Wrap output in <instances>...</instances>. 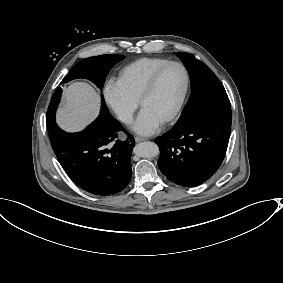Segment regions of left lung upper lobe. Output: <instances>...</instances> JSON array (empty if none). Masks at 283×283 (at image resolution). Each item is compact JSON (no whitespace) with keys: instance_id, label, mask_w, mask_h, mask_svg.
I'll use <instances>...</instances> for the list:
<instances>
[{"instance_id":"left-lung-upper-lobe-1","label":"left lung upper lobe","mask_w":283,"mask_h":283,"mask_svg":"<svg viewBox=\"0 0 283 283\" xmlns=\"http://www.w3.org/2000/svg\"><path fill=\"white\" fill-rule=\"evenodd\" d=\"M189 71L191 96L177 125H183L198 115L213 111L231 110L224 86L211 69L189 53L177 52Z\"/></svg>"}]
</instances>
